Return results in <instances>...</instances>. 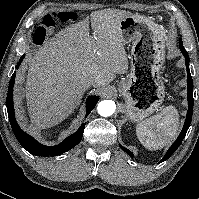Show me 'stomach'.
Masks as SVG:
<instances>
[{
  "label": "stomach",
  "mask_w": 199,
  "mask_h": 199,
  "mask_svg": "<svg viewBox=\"0 0 199 199\" xmlns=\"http://www.w3.org/2000/svg\"><path fill=\"white\" fill-rule=\"evenodd\" d=\"M121 38L131 44L130 73L119 83L128 118L140 122L157 111L165 97L161 72L165 61V34L151 19L130 14L119 24Z\"/></svg>",
  "instance_id": "stomach-1"
}]
</instances>
